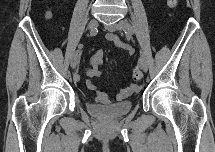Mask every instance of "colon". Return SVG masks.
Returning <instances> with one entry per match:
<instances>
[{"label": "colon", "instance_id": "obj_1", "mask_svg": "<svg viewBox=\"0 0 215 152\" xmlns=\"http://www.w3.org/2000/svg\"><path fill=\"white\" fill-rule=\"evenodd\" d=\"M177 3H178L177 0H169L168 1V5L171 8L176 7ZM132 74H133V77H134L135 80H139V79L142 78V71L138 66L133 69Z\"/></svg>", "mask_w": 215, "mask_h": 152}]
</instances>
